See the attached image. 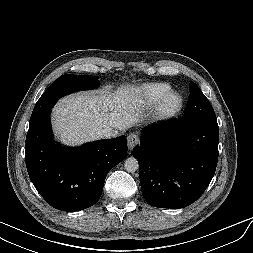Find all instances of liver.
<instances>
[{
    "instance_id": "obj_1",
    "label": "liver",
    "mask_w": 253,
    "mask_h": 253,
    "mask_svg": "<svg viewBox=\"0 0 253 253\" xmlns=\"http://www.w3.org/2000/svg\"><path fill=\"white\" fill-rule=\"evenodd\" d=\"M137 89L124 86L112 93L82 92L62 98L53 108L52 125L63 144L81 145L99 138L97 132L111 128L116 134L140 121Z\"/></svg>"
}]
</instances>
